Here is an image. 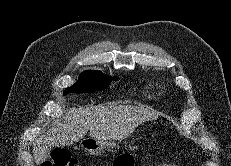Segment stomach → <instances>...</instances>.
<instances>
[{
	"label": "stomach",
	"instance_id": "stomach-1",
	"mask_svg": "<svg viewBox=\"0 0 231 166\" xmlns=\"http://www.w3.org/2000/svg\"><path fill=\"white\" fill-rule=\"evenodd\" d=\"M116 144L114 142H108V141H97V140H92L91 144L89 146H85L82 143V146L85 148V150L90 151V152H97V151H102L106 147H114Z\"/></svg>",
	"mask_w": 231,
	"mask_h": 166
}]
</instances>
